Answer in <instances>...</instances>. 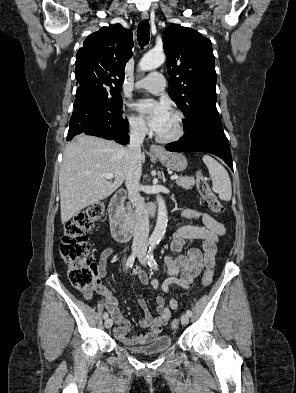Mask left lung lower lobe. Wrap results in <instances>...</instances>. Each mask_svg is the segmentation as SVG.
Listing matches in <instances>:
<instances>
[{
    "mask_svg": "<svg viewBox=\"0 0 296 393\" xmlns=\"http://www.w3.org/2000/svg\"><path fill=\"white\" fill-rule=\"evenodd\" d=\"M171 152H207L217 155L233 170L231 151L228 139L223 131L219 116H210L196 121L184 136L166 145Z\"/></svg>",
    "mask_w": 296,
    "mask_h": 393,
    "instance_id": "0a47b994",
    "label": "left lung lower lobe"
}]
</instances>
